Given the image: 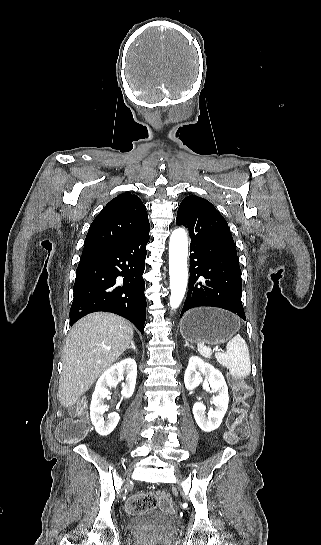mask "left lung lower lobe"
I'll use <instances>...</instances> for the list:
<instances>
[{"label": "left lung lower lobe", "mask_w": 321, "mask_h": 545, "mask_svg": "<svg viewBox=\"0 0 321 545\" xmlns=\"http://www.w3.org/2000/svg\"><path fill=\"white\" fill-rule=\"evenodd\" d=\"M176 223L188 227L190 244L187 310L211 306L229 310L246 320L241 301L242 278L228 224L212 204L180 207Z\"/></svg>", "instance_id": "0a47b994"}]
</instances>
